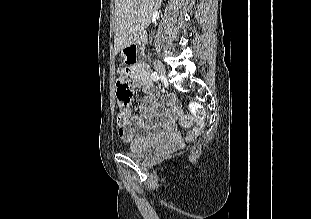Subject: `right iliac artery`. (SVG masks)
<instances>
[{
  "mask_svg": "<svg viewBox=\"0 0 311 219\" xmlns=\"http://www.w3.org/2000/svg\"><path fill=\"white\" fill-rule=\"evenodd\" d=\"M151 78H152L154 81H157V80L159 79V76H158V74H157L156 72H153V73L151 74Z\"/></svg>",
  "mask_w": 311,
  "mask_h": 219,
  "instance_id": "1",
  "label": "right iliac artery"
}]
</instances>
